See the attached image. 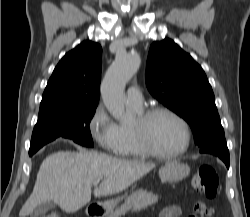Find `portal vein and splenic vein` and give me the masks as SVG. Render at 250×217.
<instances>
[{
  "label": "portal vein and splenic vein",
  "instance_id": "1",
  "mask_svg": "<svg viewBox=\"0 0 250 217\" xmlns=\"http://www.w3.org/2000/svg\"><path fill=\"white\" fill-rule=\"evenodd\" d=\"M100 182V179H96L94 182H93V186H97Z\"/></svg>",
  "mask_w": 250,
  "mask_h": 217
}]
</instances>
